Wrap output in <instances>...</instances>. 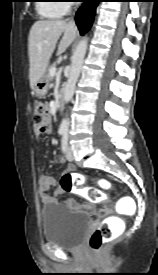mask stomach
<instances>
[{
    "label": "stomach",
    "instance_id": "obj_1",
    "mask_svg": "<svg viewBox=\"0 0 158 275\" xmlns=\"http://www.w3.org/2000/svg\"><path fill=\"white\" fill-rule=\"evenodd\" d=\"M49 79L45 73L34 85L33 92L37 97H42L47 93Z\"/></svg>",
    "mask_w": 158,
    "mask_h": 275
}]
</instances>
